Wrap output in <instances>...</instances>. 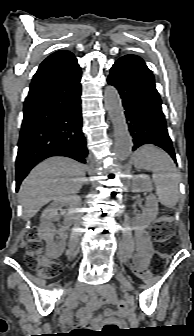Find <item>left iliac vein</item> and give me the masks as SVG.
Returning a JSON list of instances; mask_svg holds the SVG:
<instances>
[{"label":"left iliac vein","instance_id":"obj_1","mask_svg":"<svg viewBox=\"0 0 194 336\" xmlns=\"http://www.w3.org/2000/svg\"><path fill=\"white\" fill-rule=\"evenodd\" d=\"M116 279L120 282V284L128 291L133 290L132 283L119 271L116 272Z\"/></svg>","mask_w":194,"mask_h":336}]
</instances>
